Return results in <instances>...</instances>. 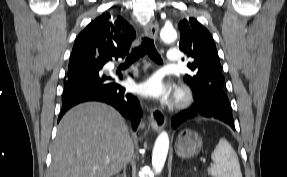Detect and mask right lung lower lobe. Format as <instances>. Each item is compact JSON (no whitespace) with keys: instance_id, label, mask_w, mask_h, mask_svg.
<instances>
[{"instance_id":"1","label":"right lung lower lobe","mask_w":287,"mask_h":177,"mask_svg":"<svg viewBox=\"0 0 287 177\" xmlns=\"http://www.w3.org/2000/svg\"><path fill=\"white\" fill-rule=\"evenodd\" d=\"M116 54L111 58L124 57ZM111 58L98 56L91 62L79 64L68 69L62 97V108L58 121L73 106L87 101L105 102L116 108L132 121L136 130L142 110L138 99L125 88L114 82V78L104 74L102 69ZM122 79V76H120Z\"/></svg>"}]
</instances>
